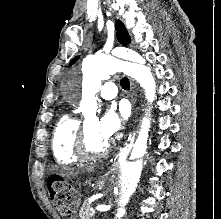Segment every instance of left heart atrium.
Segmentation results:
<instances>
[{
	"label": "left heart atrium",
	"instance_id": "left-heart-atrium-1",
	"mask_svg": "<svg viewBox=\"0 0 221 219\" xmlns=\"http://www.w3.org/2000/svg\"><path fill=\"white\" fill-rule=\"evenodd\" d=\"M127 113L120 109L119 113L115 109H108L97 123V132L104 140H111L114 135L122 128Z\"/></svg>",
	"mask_w": 221,
	"mask_h": 219
}]
</instances>
